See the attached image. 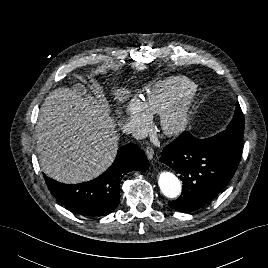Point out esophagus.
Listing matches in <instances>:
<instances>
[{"mask_svg":"<svg viewBox=\"0 0 268 268\" xmlns=\"http://www.w3.org/2000/svg\"><path fill=\"white\" fill-rule=\"evenodd\" d=\"M145 152H146V156H147V158H148L149 160H152L153 157H154V150H153V148H152L151 146H148V147L146 148Z\"/></svg>","mask_w":268,"mask_h":268,"instance_id":"1","label":"esophagus"}]
</instances>
